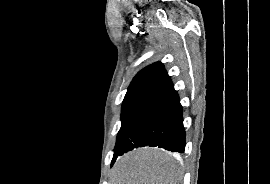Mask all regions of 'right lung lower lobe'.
Listing matches in <instances>:
<instances>
[{
    "label": "right lung lower lobe",
    "instance_id": "1",
    "mask_svg": "<svg viewBox=\"0 0 270 184\" xmlns=\"http://www.w3.org/2000/svg\"><path fill=\"white\" fill-rule=\"evenodd\" d=\"M182 106L173 84L149 97L134 120L118 156L134 148L158 146L183 153L185 129Z\"/></svg>",
    "mask_w": 270,
    "mask_h": 184
}]
</instances>
